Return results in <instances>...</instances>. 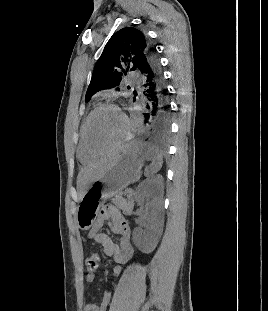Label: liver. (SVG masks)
Returning a JSON list of instances; mask_svg holds the SVG:
<instances>
[{
	"label": "liver",
	"instance_id": "obj_1",
	"mask_svg": "<svg viewBox=\"0 0 268 311\" xmlns=\"http://www.w3.org/2000/svg\"><path fill=\"white\" fill-rule=\"evenodd\" d=\"M115 157H110L107 159H102L95 162L84 169H82L78 174V187L81 190V197L87 190V188L98 178L102 176L105 170L113 162Z\"/></svg>",
	"mask_w": 268,
	"mask_h": 311
}]
</instances>
